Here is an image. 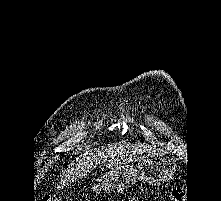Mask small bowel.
<instances>
[{"mask_svg":"<svg viewBox=\"0 0 221 201\" xmlns=\"http://www.w3.org/2000/svg\"><path fill=\"white\" fill-rule=\"evenodd\" d=\"M128 201H138L136 198H130Z\"/></svg>","mask_w":221,"mask_h":201,"instance_id":"small-bowel-1","label":"small bowel"}]
</instances>
